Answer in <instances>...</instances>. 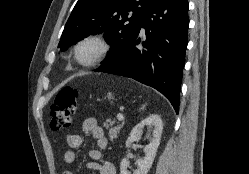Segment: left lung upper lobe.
Instances as JSON below:
<instances>
[{
    "label": "left lung upper lobe",
    "instance_id": "5c2ea615",
    "mask_svg": "<svg viewBox=\"0 0 249 174\" xmlns=\"http://www.w3.org/2000/svg\"><path fill=\"white\" fill-rule=\"evenodd\" d=\"M152 0H79L63 30L58 47L64 51L71 44L91 34L104 33L111 45L102 66L120 60L126 47L139 33L142 20Z\"/></svg>",
    "mask_w": 249,
    "mask_h": 174
}]
</instances>
